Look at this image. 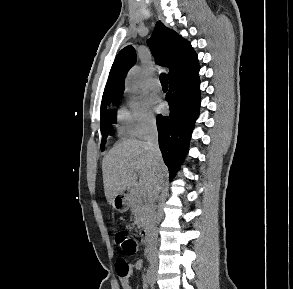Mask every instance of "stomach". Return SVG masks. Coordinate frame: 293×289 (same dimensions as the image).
Wrapping results in <instances>:
<instances>
[{
  "instance_id": "0dacf381",
  "label": "stomach",
  "mask_w": 293,
  "mask_h": 289,
  "mask_svg": "<svg viewBox=\"0 0 293 289\" xmlns=\"http://www.w3.org/2000/svg\"><path fill=\"white\" fill-rule=\"evenodd\" d=\"M112 206L119 212H125L129 205L128 197L124 196L123 194L119 193L113 197Z\"/></svg>"
}]
</instances>
